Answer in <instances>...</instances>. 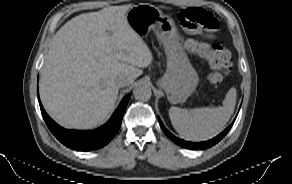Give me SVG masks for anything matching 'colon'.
<instances>
[{
    "mask_svg": "<svg viewBox=\"0 0 292 184\" xmlns=\"http://www.w3.org/2000/svg\"><path fill=\"white\" fill-rule=\"evenodd\" d=\"M179 22L189 32H196L201 28L216 30L219 26L217 19L212 13L201 8L182 10L178 15ZM187 48L199 55L213 69L208 79L212 84H219L225 78L229 70L232 58L229 50L220 44L189 40Z\"/></svg>",
    "mask_w": 292,
    "mask_h": 184,
    "instance_id": "obj_1",
    "label": "colon"
}]
</instances>
